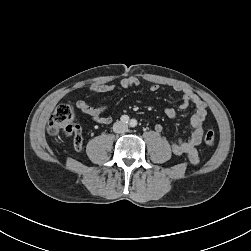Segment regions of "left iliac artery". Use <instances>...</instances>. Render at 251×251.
<instances>
[{"label": "left iliac artery", "mask_w": 251, "mask_h": 251, "mask_svg": "<svg viewBox=\"0 0 251 251\" xmlns=\"http://www.w3.org/2000/svg\"><path fill=\"white\" fill-rule=\"evenodd\" d=\"M130 126H131V127H136V126H137V120L132 119V120L130 121Z\"/></svg>", "instance_id": "1"}]
</instances>
